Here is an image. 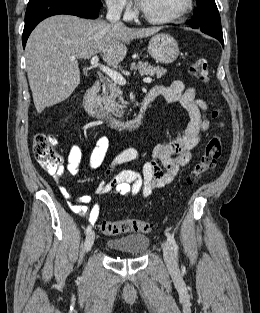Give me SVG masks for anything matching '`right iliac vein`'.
<instances>
[{
    "instance_id": "1",
    "label": "right iliac vein",
    "mask_w": 260,
    "mask_h": 313,
    "mask_svg": "<svg viewBox=\"0 0 260 313\" xmlns=\"http://www.w3.org/2000/svg\"><path fill=\"white\" fill-rule=\"evenodd\" d=\"M94 240H95V234L91 230L88 232V234L86 235V238H85L84 247H85L86 251H89L92 248V246L94 244Z\"/></svg>"
}]
</instances>
